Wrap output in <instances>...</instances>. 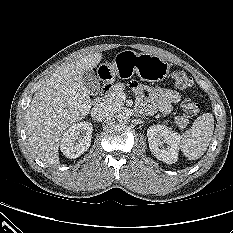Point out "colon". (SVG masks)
<instances>
[{
	"label": "colon",
	"instance_id": "colon-1",
	"mask_svg": "<svg viewBox=\"0 0 233 233\" xmlns=\"http://www.w3.org/2000/svg\"><path fill=\"white\" fill-rule=\"evenodd\" d=\"M172 85L179 90H186L193 84L192 78L182 70H176L171 75ZM182 114L187 118L195 117L200 111L198 102L192 99H184L181 103Z\"/></svg>",
	"mask_w": 233,
	"mask_h": 233
}]
</instances>
